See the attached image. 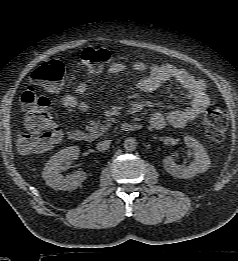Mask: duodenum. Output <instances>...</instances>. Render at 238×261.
Listing matches in <instances>:
<instances>
[{
  "label": "duodenum",
  "instance_id": "duodenum-1",
  "mask_svg": "<svg viewBox=\"0 0 238 261\" xmlns=\"http://www.w3.org/2000/svg\"><path fill=\"white\" fill-rule=\"evenodd\" d=\"M140 128V125L135 122H126L121 125V130L124 132H133ZM69 139L75 143H90L93 137L90 133L83 130H73L69 133Z\"/></svg>",
  "mask_w": 238,
  "mask_h": 261
}]
</instances>
